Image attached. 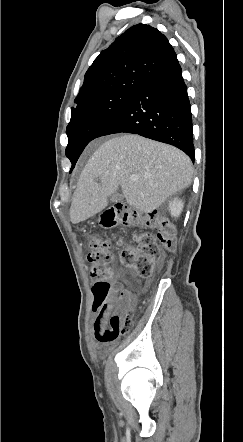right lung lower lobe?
Masks as SVG:
<instances>
[{
  "instance_id": "right-lung-lower-lobe-1",
  "label": "right lung lower lobe",
  "mask_w": 243,
  "mask_h": 442,
  "mask_svg": "<svg viewBox=\"0 0 243 442\" xmlns=\"http://www.w3.org/2000/svg\"><path fill=\"white\" fill-rule=\"evenodd\" d=\"M121 132L171 144L194 162L191 105L177 58L135 89L95 138Z\"/></svg>"
}]
</instances>
